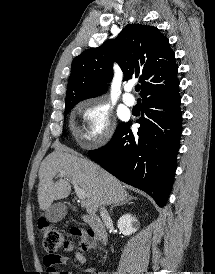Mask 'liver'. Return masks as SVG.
Returning <instances> with one entry per match:
<instances>
[{
    "instance_id": "1",
    "label": "liver",
    "mask_w": 215,
    "mask_h": 274,
    "mask_svg": "<svg viewBox=\"0 0 215 274\" xmlns=\"http://www.w3.org/2000/svg\"><path fill=\"white\" fill-rule=\"evenodd\" d=\"M61 172L66 175L54 182V177ZM38 176L37 193L41 210H47L53 201L69 196L71 186L66 177L74 180L85 191V208L90 215H94L103 205L117 204L129 199V194L118 179L66 148H56L49 154L42 161Z\"/></svg>"
}]
</instances>
